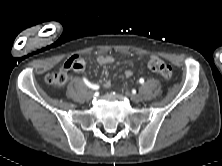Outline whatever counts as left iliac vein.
<instances>
[{
  "mask_svg": "<svg viewBox=\"0 0 222 166\" xmlns=\"http://www.w3.org/2000/svg\"><path fill=\"white\" fill-rule=\"evenodd\" d=\"M129 97L135 103H138L141 101V97L138 94H130Z\"/></svg>",
  "mask_w": 222,
  "mask_h": 166,
  "instance_id": "obj_1",
  "label": "left iliac vein"
}]
</instances>
